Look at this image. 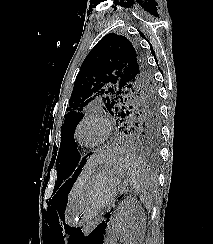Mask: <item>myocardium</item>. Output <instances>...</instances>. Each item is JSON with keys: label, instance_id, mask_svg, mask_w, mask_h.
Instances as JSON below:
<instances>
[{"label": "myocardium", "instance_id": "myocardium-1", "mask_svg": "<svg viewBox=\"0 0 213 244\" xmlns=\"http://www.w3.org/2000/svg\"><path fill=\"white\" fill-rule=\"evenodd\" d=\"M88 122H97V123L101 124V126L103 127L102 138L99 141L92 143V144H88V143L81 141V139L79 137V132H80L81 127ZM111 132H112V125H111L110 119L107 116L103 115L102 113H90V114L85 115L77 123V125L75 127V131H74V137H75V140L82 146L98 147V146H101L102 144H104L109 139Z\"/></svg>", "mask_w": 213, "mask_h": 244}]
</instances>
